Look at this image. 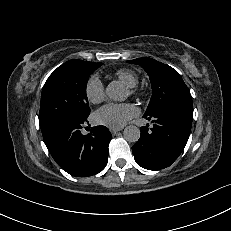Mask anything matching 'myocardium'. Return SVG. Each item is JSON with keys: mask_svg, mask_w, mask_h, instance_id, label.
Here are the masks:
<instances>
[{"mask_svg": "<svg viewBox=\"0 0 231 231\" xmlns=\"http://www.w3.org/2000/svg\"><path fill=\"white\" fill-rule=\"evenodd\" d=\"M130 93L134 94L135 93V89L133 87H130Z\"/></svg>", "mask_w": 231, "mask_h": 231, "instance_id": "1", "label": "myocardium"}]
</instances>
